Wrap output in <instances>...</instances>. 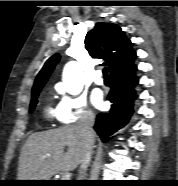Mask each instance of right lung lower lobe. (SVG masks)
<instances>
[{
  "label": "right lung lower lobe",
  "mask_w": 178,
  "mask_h": 186,
  "mask_svg": "<svg viewBox=\"0 0 178 186\" xmlns=\"http://www.w3.org/2000/svg\"><path fill=\"white\" fill-rule=\"evenodd\" d=\"M136 71L133 61L110 73L108 100L112 103L111 109L108 113H99L94 126L102 141L124 127L133 113V102L137 98L134 88L139 83Z\"/></svg>",
  "instance_id": "98d812e1"
}]
</instances>
